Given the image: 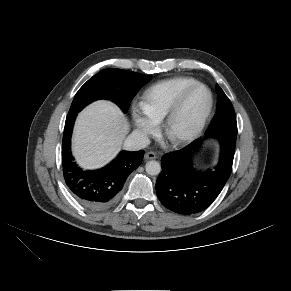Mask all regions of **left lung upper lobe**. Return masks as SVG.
I'll use <instances>...</instances> for the list:
<instances>
[{
    "label": "left lung upper lobe",
    "instance_id": "obj_1",
    "mask_svg": "<svg viewBox=\"0 0 291 291\" xmlns=\"http://www.w3.org/2000/svg\"><path fill=\"white\" fill-rule=\"evenodd\" d=\"M216 92L218 94L217 111L207 131L219 128L237 129L236 115L230 100L219 85H216Z\"/></svg>",
    "mask_w": 291,
    "mask_h": 291
}]
</instances>
